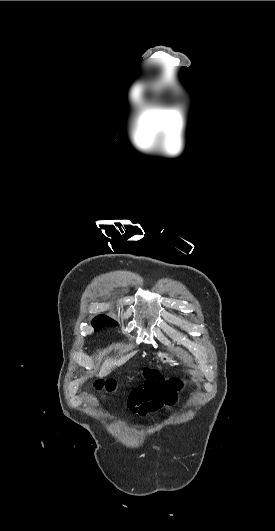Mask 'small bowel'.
Returning <instances> with one entry per match:
<instances>
[{
	"label": "small bowel",
	"mask_w": 275,
	"mask_h": 531,
	"mask_svg": "<svg viewBox=\"0 0 275 531\" xmlns=\"http://www.w3.org/2000/svg\"><path fill=\"white\" fill-rule=\"evenodd\" d=\"M141 371L144 375L145 384L138 388L132 395L129 406L132 411L140 416H145L149 413L156 412L162 408H170L179 401V396L182 392V385L180 383H190L191 375L190 374H166L165 382H161V376L163 375V370L161 368L150 367L148 364H143L141 366ZM107 383L105 384V389L109 394L115 393L114 385L116 384L115 376H108ZM184 390H192V387H184ZM104 403L110 402L109 396L103 397Z\"/></svg>",
	"instance_id": "obj_1"
}]
</instances>
